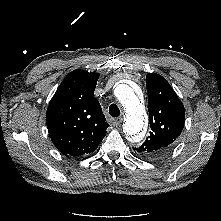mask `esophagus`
Returning a JSON list of instances; mask_svg holds the SVG:
<instances>
[{
    "mask_svg": "<svg viewBox=\"0 0 221 221\" xmlns=\"http://www.w3.org/2000/svg\"><path fill=\"white\" fill-rule=\"evenodd\" d=\"M122 120L123 119L121 117L115 118V119L112 120V124L114 126H118L122 122Z\"/></svg>",
    "mask_w": 221,
    "mask_h": 221,
    "instance_id": "esophagus-1",
    "label": "esophagus"
}]
</instances>
